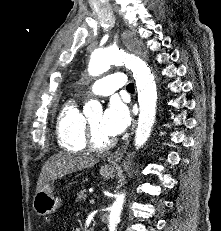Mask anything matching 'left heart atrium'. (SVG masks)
<instances>
[{
  "label": "left heart atrium",
  "mask_w": 221,
  "mask_h": 231,
  "mask_svg": "<svg viewBox=\"0 0 221 231\" xmlns=\"http://www.w3.org/2000/svg\"><path fill=\"white\" fill-rule=\"evenodd\" d=\"M129 125V115L124 106L119 103H111L102 114L101 130L111 136L121 135Z\"/></svg>",
  "instance_id": "39dd6f15"
}]
</instances>
